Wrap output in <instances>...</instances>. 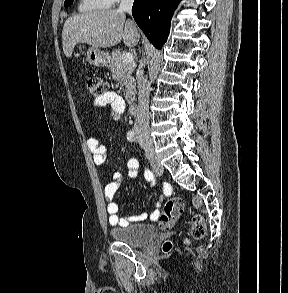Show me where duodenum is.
I'll return each mask as SVG.
<instances>
[{"instance_id":"1","label":"duodenum","mask_w":288,"mask_h":293,"mask_svg":"<svg viewBox=\"0 0 288 293\" xmlns=\"http://www.w3.org/2000/svg\"><path fill=\"white\" fill-rule=\"evenodd\" d=\"M129 110L132 114H135L138 111V103L134 99L129 101Z\"/></svg>"}]
</instances>
